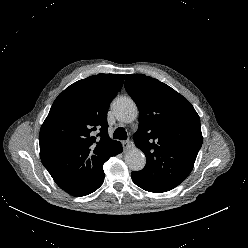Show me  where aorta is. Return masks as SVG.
Here are the masks:
<instances>
[{
	"mask_svg": "<svg viewBox=\"0 0 248 248\" xmlns=\"http://www.w3.org/2000/svg\"><path fill=\"white\" fill-rule=\"evenodd\" d=\"M113 110L116 118L123 123H131L138 116V108L135 102L128 97L118 98L114 102ZM124 160L129 169L133 171L142 170L146 164L145 155L136 147L125 154Z\"/></svg>",
	"mask_w": 248,
	"mask_h": 248,
	"instance_id": "aorta-1",
	"label": "aorta"
}]
</instances>
